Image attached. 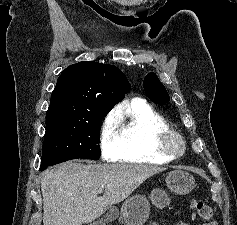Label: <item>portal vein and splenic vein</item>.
<instances>
[{
    "instance_id": "18ae733b",
    "label": "portal vein and splenic vein",
    "mask_w": 237,
    "mask_h": 225,
    "mask_svg": "<svg viewBox=\"0 0 237 225\" xmlns=\"http://www.w3.org/2000/svg\"><path fill=\"white\" fill-rule=\"evenodd\" d=\"M103 190H104V186H101V188H99L98 191H97L98 194H101L103 192Z\"/></svg>"
}]
</instances>
